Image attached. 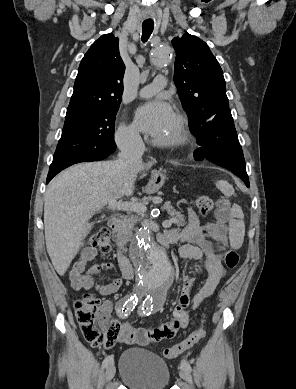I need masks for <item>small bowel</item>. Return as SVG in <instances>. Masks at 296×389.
I'll return each instance as SVG.
<instances>
[{"label": "small bowel", "mask_w": 296, "mask_h": 389, "mask_svg": "<svg viewBox=\"0 0 296 389\" xmlns=\"http://www.w3.org/2000/svg\"><path fill=\"white\" fill-rule=\"evenodd\" d=\"M217 220L209 224H201L200 220L191 208L188 209V224L181 230H171L165 235L171 237L174 242L182 243L179 249V256L182 260L190 259L198 261L206 270V279L202 287L194 294L190 288L192 280L187 277L184 282V293L178 305L174 308L172 319L159 327L142 328L133 327L125 321L120 324L118 340L129 345L146 346L149 344L158 345L163 340L173 338L176 333L185 328L188 324L187 307L193 309L201 307L216 291L219 282L226 274L222 264V254L218 253L207 237L224 239L226 237V224L230 218V209L226 200H220L216 211ZM97 251L92 247L82 250L79 259L70 271L69 278L72 287L77 290H88L94 287L99 294L108 296L116 293L123 283L122 276L117 275L107 284L95 282L94 276L103 270L116 271L114 264H94L87 268V265L94 260ZM104 307L108 312L112 311L113 303L105 301Z\"/></svg>", "instance_id": "c3829d8e"}]
</instances>
